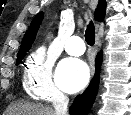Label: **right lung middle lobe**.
I'll list each match as a JSON object with an SVG mask.
<instances>
[{"label":"right lung middle lobe","instance_id":"right-lung-middle-lobe-1","mask_svg":"<svg viewBox=\"0 0 131 115\" xmlns=\"http://www.w3.org/2000/svg\"><path fill=\"white\" fill-rule=\"evenodd\" d=\"M26 55V53L20 55L19 57H17V62L16 65L20 64L21 60L24 58V56Z\"/></svg>","mask_w":131,"mask_h":115}]
</instances>
